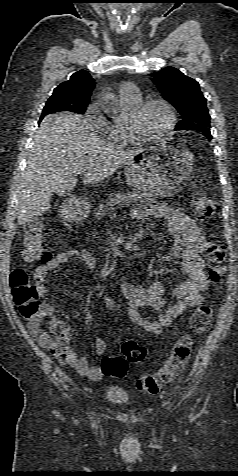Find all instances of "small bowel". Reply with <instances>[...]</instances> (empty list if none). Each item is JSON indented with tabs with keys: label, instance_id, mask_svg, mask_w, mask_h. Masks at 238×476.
<instances>
[{
	"label": "small bowel",
	"instance_id": "obj_1",
	"mask_svg": "<svg viewBox=\"0 0 238 476\" xmlns=\"http://www.w3.org/2000/svg\"><path fill=\"white\" fill-rule=\"evenodd\" d=\"M134 218L142 222L150 218L163 219L167 224V230L172 236V245L165 251H159L161 257L171 260L180 259V272L183 280L173 289L166 290L158 282L147 286H139L131 283L127 278L120 280L119 288L126 299L124 306L118 304L113 296L103 298V305L108 310H122L130 322L144 330L160 334L163 329L171 324L174 318L181 315L188 308L199 307L203 302V292L207 289L208 280L204 272L202 254L205 249L204 235L199 225L189 216L178 209L164 204H157L150 208H135L132 211ZM71 258L79 259L88 270H94L97 266L96 259L85 249H69L56 254L48 261L39 266L34 273V282L40 297L48 294L46 278L48 274L65 264ZM175 299L173 303H167L166 297ZM152 307L159 312L155 320L141 315L140 308ZM50 313L51 309L49 308ZM50 326L67 327L57 317H52ZM106 343L100 337L95 339V349L99 355L106 352ZM60 363L69 365L78 373L90 378L100 380L104 373L101 366H91L86 357H80L75 347L67 348L56 354Z\"/></svg>",
	"mask_w": 238,
	"mask_h": 476
}]
</instances>
